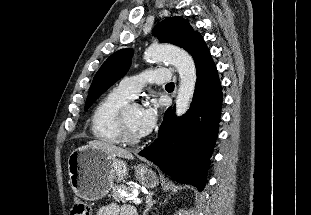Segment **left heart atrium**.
<instances>
[{"label": "left heart atrium", "instance_id": "39dd6f15", "mask_svg": "<svg viewBox=\"0 0 311 215\" xmlns=\"http://www.w3.org/2000/svg\"><path fill=\"white\" fill-rule=\"evenodd\" d=\"M157 115V106L154 102L140 109L136 123V130L140 137H144L151 132L156 124Z\"/></svg>", "mask_w": 311, "mask_h": 215}]
</instances>
